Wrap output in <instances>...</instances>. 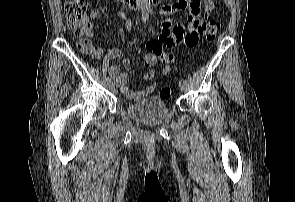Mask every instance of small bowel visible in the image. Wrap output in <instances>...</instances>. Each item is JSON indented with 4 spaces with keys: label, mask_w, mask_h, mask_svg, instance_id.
<instances>
[{
    "label": "small bowel",
    "mask_w": 295,
    "mask_h": 202,
    "mask_svg": "<svg viewBox=\"0 0 295 202\" xmlns=\"http://www.w3.org/2000/svg\"><path fill=\"white\" fill-rule=\"evenodd\" d=\"M201 9L204 11V15H201ZM215 9V3L213 0H177L176 2L166 4L160 12V25L161 31L157 41H149L146 43V48L150 52H157L158 62L164 64L162 73L165 75L170 72L171 64L175 61V56L169 52H165L164 48H174L181 44L187 47H193L196 45L199 34L204 30L207 21V15ZM187 10L189 13V19L187 24H173L171 21V15L175 12ZM99 14V10L94 8L90 12L92 18H96ZM123 17V15L121 14ZM131 26L129 21H126V28ZM155 42V43H152ZM91 50L89 51L91 56L95 59H100L104 55L107 59L121 57V51L117 49H108L104 52L98 46L90 44ZM147 56V54L145 55ZM125 67L130 66V60H124ZM109 75L115 79L120 91L126 98L133 101H141L142 99L151 95L154 90H147V87L140 90H130L127 86L128 76L126 73L121 72L118 67H108ZM155 75L144 74L146 81H153Z\"/></svg>",
    "instance_id": "obj_1"
}]
</instances>
